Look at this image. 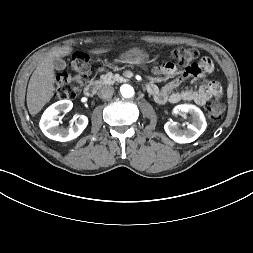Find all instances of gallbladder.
<instances>
[{
    "instance_id": "bac80fb5",
    "label": "gallbladder",
    "mask_w": 253,
    "mask_h": 253,
    "mask_svg": "<svg viewBox=\"0 0 253 253\" xmlns=\"http://www.w3.org/2000/svg\"><path fill=\"white\" fill-rule=\"evenodd\" d=\"M53 66L56 70H64L66 67V62L60 58H55L53 60Z\"/></svg>"
}]
</instances>
